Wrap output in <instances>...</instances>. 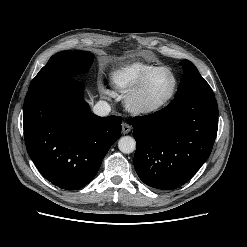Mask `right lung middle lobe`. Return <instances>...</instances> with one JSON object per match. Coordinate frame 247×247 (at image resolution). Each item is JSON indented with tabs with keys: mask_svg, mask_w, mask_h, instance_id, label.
Returning <instances> with one entry per match:
<instances>
[{
	"mask_svg": "<svg viewBox=\"0 0 247 247\" xmlns=\"http://www.w3.org/2000/svg\"><path fill=\"white\" fill-rule=\"evenodd\" d=\"M93 54L85 51H62L53 55L32 80L29 89L49 82L71 79L89 69Z\"/></svg>",
	"mask_w": 247,
	"mask_h": 247,
	"instance_id": "1",
	"label": "right lung middle lobe"
}]
</instances>
